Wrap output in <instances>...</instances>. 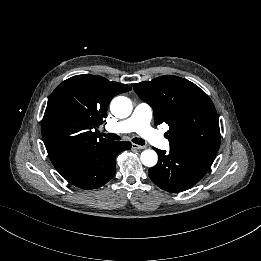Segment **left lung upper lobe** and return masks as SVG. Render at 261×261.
Returning <instances> with one entry per match:
<instances>
[{
	"mask_svg": "<svg viewBox=\"0 0 261 261\" xmlns=\"http://www.w3.org/2000/svg\"><path fill=\"white\" fill-rule=\"evenodd\" d=\"M154 111V124L167 123L170 149L198 152L215 158L220 146L219 120L207 94L177 76H160L133 86Z\"/></svg>",
	"mask_w": 261,
	"mask_h": 261,
	"instance_id": "left-lung-upper-lobe-1",
	"label": "left lung upper lobe"
}]
</instances>
